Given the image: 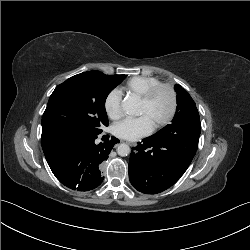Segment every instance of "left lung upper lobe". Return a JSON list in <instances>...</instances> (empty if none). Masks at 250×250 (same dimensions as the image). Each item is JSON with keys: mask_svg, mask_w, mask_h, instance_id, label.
<instances>
[{"mask_svg": "<svg viewBox=\"0 0 250 250\" xmlns=\"http://www.w3.org/2000/svg\"><path fill=\"white\" fill-rule=\"evenodd\" d=\"M175 90L177 92V113L173 118L172 124L161 129L156 135L173 133L172 129L177 126H184L190 122H200L196 104L191 96L178 84L175 85Z\"/></svg>", "mask_w": 250, "mask_h": 250, "instance_id": "left-lung-upper-lobe-1", "label": "left lung upper lobe"}]
</instances>
